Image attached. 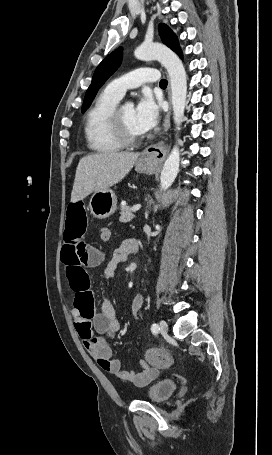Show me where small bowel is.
I'll list each match as a JSON object with an SVG mask.
<instances>
[{
  "label": "small bowel",
  "instance_id": "c3829d8e",
  "mask_svg": "<svg viewBox=\"0 0 272 455\" xmlns=\"http://www.w3.org/2000/svg\"><path fill=\"white\" fill-rule=\"evenodd\" d=\"M86 227L87 216L84 207L79 202L71 203L67 210L61 259L74 295L71 309L74 327L88 353L103 370L122 381L135 385L147 384L157 377L158 369L149 366L144 360L140 361L139 371L123 369L120 360L113 356L111 346L105 338V336L113 337L121 330V322L112 302L105 299L101 311L94 310L88 269L99 265L104 255L98 248L85 243ZM135 246H139L138 243L128 239L113 251L112 258L104 269L106 281L114 276L119 263L125 261L129 254L136 253ZM143 302L144 298L141 294L134 296L131 303L134 315L140 311ZM93 330L100 336L95 337Z\"/></svg>",
  "mask_w": 272,
  "mask_h": 455
}]
</instances>
